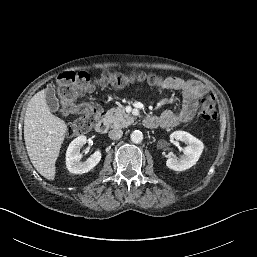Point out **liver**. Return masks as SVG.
<instances>
[{"label":"liver","mask_w":257,"mask_h":257,"mask_svg":"<svg viewBox=\"0 0 257 257\" xmlns=\"http://www.w3.org/2000/svg\"><path fill=\"white\" fill-rule=\"evenodd\" d=\"M46 90L29 101L24 118V140L34 168L48 180L55 178V163L67 132L63 120L54 116L46 103Z\"/></svg>","instance_id":"1"}]
</instances>
